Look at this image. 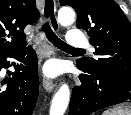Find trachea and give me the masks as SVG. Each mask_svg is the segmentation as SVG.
Segmentation results:
<instances>
[{
    "label": "trachea",
    "instance_id": "3493384b",
    "mask_svg": "<svg viewBox=\"0 0 131 115\" xmlns=\"http://www.w3.org/2000/svg\"><path fill=\"white\" fill-rule=\"evenodd\" d=\"M42 31L45 32L48 40L57 48L59 49H69V50H79V51H83V49H79V48H74L69 46L68 44H66L64 41H62L60 38H58L56 36V34L53 32V30L51 29L49 23H45L42 26Z\"/></svg>",
    "mask_w": 131,
    "mask_h": 115
}]
</instances>
